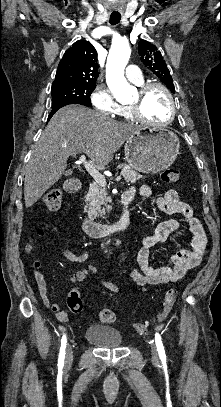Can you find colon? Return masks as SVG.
<instances>
[{
    "mask_svg": "<svg viewBox=\"0 0 221 407\" xmlns=\"http://www.w3.org/2000/svg\"><path fill=\"white\" fill-rule=\"evenodd\" d=\"M180 170L177 167L171 166L166 168L162 174L161 179L166 184H175L180 181ZM44 201L46 206L51 211H57L60 209L62 202V191L59 189L48 190L45 194ZM72 299L68 302V307L74 313H80L83 309L81 298L76 290H72ZM177 290L175 288H169L164 295L163 307L157 314L156 321H164L170 314L172 307L177 298ZM100 320L104 323H112L116 319V314L111 309H102L99 312ZM147 322H137L134 325V329L138 334H145L148 331Z\"/></svg>",
    "mask_w": 221,
    "mask_h": 407,
    "instance_id": "1",
    "label": "colon"
}]
</instances>
